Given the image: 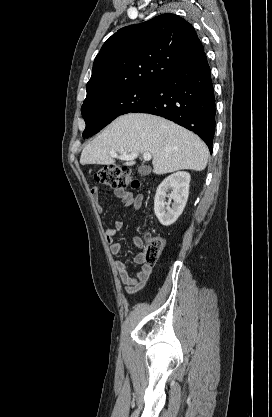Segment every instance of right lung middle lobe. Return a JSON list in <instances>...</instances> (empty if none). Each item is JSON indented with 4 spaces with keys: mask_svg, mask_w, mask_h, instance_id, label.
I'll list each match as a JSON object with an SVG mask.
<instances>
[{
    "mask_svg": "<svg viewBox=\"0 0 272 417\" xmlns=\"http://www.w3.org/2000/svg\"><path fill=\"white\" fill-rule=\"evenodd\" d=\"M158 85L134 86L84 102L81 107L86 122L83 137L94 135L118 116L134 111L150 99Z\"/></svg>",
    "mask_w": 272,
    "mask_h": 417,
    "instance_id": "right-lung-middle-lobe-1",
    "label": "right lung middle lobe"
}]
</instances>
